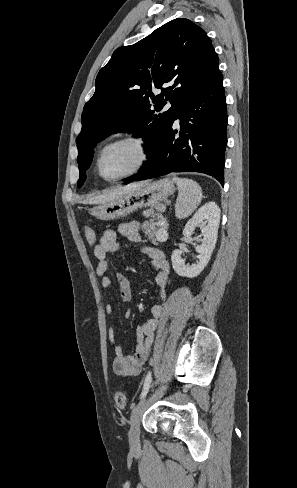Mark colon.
I'll return each mask as SVG.
<instances>
[{"instance_id": "colon-1", "label": "colon", "mask_w": 297, "mask_h": 488, "mask_svg": "<svg viewBox=\"0 0 297 488\" xmlns=\"http://www.w3.org/2000/svg\"><path fill=\"white\" fill-rule=\"evenodd\" d=\"M84 234L88 244L90 246H95L97 243V237L95 231L91 227L87 226L85 227ZM127 400H128V395L125 390L119 389L115 392L114 401L116 406L119 409H123L126 407Z\"/></svg>"}]
</instances>
